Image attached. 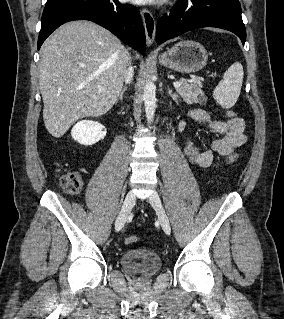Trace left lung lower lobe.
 Segmentation results:
<instances>
[{
    "label": "left lung lower lobe",
    "instance_id": "obj_1",
    "mask_svg": "<svg viewBox=\"0 0 284 319\" xmlns=\"http://www.w3.org/2000/svg\"><path fill=\"white\" fill-rule=\"evenodd\" d=\"M216 27L235 33L244 45L246 30L239 0H179L169 14L157 23V42L161 44L187 31Z\"/></svg>",
    "mask_w": 284,
    "mask_h": 319
}]
</instances>
